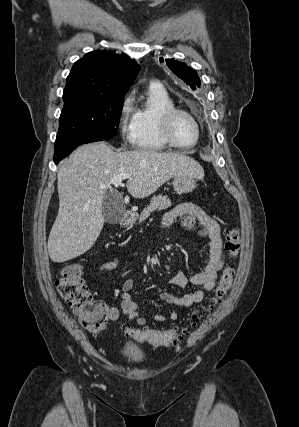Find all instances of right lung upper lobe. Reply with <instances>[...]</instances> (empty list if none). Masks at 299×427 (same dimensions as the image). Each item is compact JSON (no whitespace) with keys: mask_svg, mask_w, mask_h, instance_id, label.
Masks as SVG:
<instances>
[{"mask_svg":"<svg viewBox=\"0 0 299 427\" xmlns=\"http://www.w3.org/2000/svg\"><path fill=\"white\" fill-rule=\"evenodd\" d=\"M139 70L125 55L99 50L87 53L72 66L63 100L81 95L124 96Z\"/></svg>","mask_w":299,"mask_h":427,"instance_id":"cb5924a9","label":"right lung upper lobe"}]
</instances>
